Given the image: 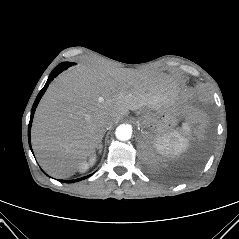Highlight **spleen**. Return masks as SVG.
I'll use <instances>...</instances> for the list:
<instances>
[{
	"mask_svg": "<svg viewBox=\"0 0 239 239\" xmlns=\"http://www.w3.org/2000/svg\"><path fill=\"white\" fill-rule=\"evenodd\" d=\"M190 123H183L182 128L169 133L157 136L152 141L156 151L164 156L180 155L188 146V134L190 133Z\"/></svg>",
	"mask_w": 239,
	"mask_h": 239,
	"instance_id": "3e777b00",
	"label": "spleen"
}]
</instances>
